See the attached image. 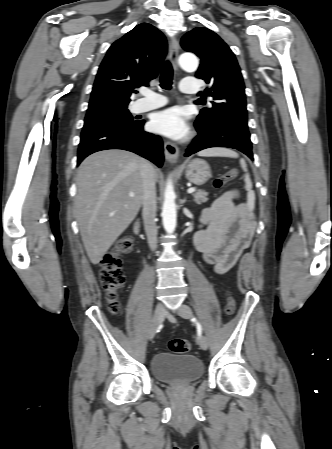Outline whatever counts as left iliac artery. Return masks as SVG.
Here are the masks:
<instances>
[{"mask_svg": "<svg viewBox=\"0 0 332 449\" xmlns=\"http://www.w3.org/2000/svg\"><path fill=\"white\" fill-rule=\"evenodd\" d=\"M193 320L196 321L195 318H193ZM196 325H197V332H198V335L201 336V333H202V327H201V325H200L199 322H196Z\"/></svg>", "mask_w": 332, "mask_h": 449, "instance_id": "1", "label": "left iliac artery"}]
</instances>
